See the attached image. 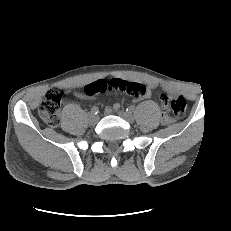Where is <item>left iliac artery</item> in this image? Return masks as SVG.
<instances>
[{
    "instance_id": "1",
    "label": "left iliac artery",
    "mask_w": 231,
    "mask_h": 231,
    "mask_svg": "<svg viewBox=\"0 0 231 231\" xmlns=\"http://www.w3.org/2000/svg\"><path fill=\"white\" fill-rule=\"evenodd\" d=\"M135 111V107L134 106H129L128 108H127V112H129V113H132V112H134Z\"/></svg>"
}]
</instances>
